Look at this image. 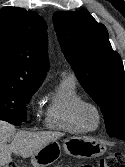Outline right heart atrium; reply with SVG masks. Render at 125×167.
<instances>
[{
	"instance_id": "1",
	"label": "right heart atrium",
	"mask_w": 125,
	"mask_h": 167,
	"mask_svg": "<svg viewBox=\"0 0 125 167\" xmlns=\"http://www.w3.org/2000/svg\"><path fill=\"white\" fill-rule=\"evenodd\" d=\"M30 104L33 105V99L30 100Z\"/></svg>"
}]
</instances>
